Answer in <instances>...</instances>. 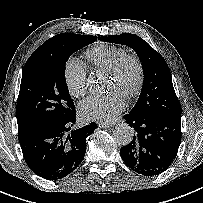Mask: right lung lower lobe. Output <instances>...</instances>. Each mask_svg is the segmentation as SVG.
<instances>
[{
	"label": "right lung lower lobe",
	"mask_w": 203,
	"mask_h": 203,
	"mask_svg": "<svg viewBox=\"0 0 203 203\" xmlns=\"http://www.w3.org/2000/svg\"><path fill=\"white\" fill-rule=\"evenodd\" d=\"M75 117L73 110L62 119L18 133L24 159L38 176L48 180L62 179L84 159L86 138L97 125L93 122L73 130Z\"/></svg>",
	"instance_id": "obj_1"
}]
</instances>
